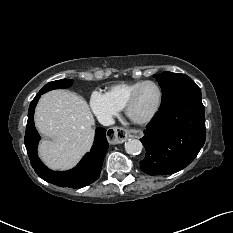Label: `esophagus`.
<instances>
[{"label": "esophagus", "mask_w": 233, "mask_h": 233, "mask_svg": "<svg viewBox=\"0 0 233 233\" xmlns=\"http://www.w3.org/2000/svg\"><path fill=\"white\" fill-rule=\"evenodd\" d=\"M128 136H132L135 138H140L142 136V132L140 130H126L122 127H111L108 129L106 133V140L110 144H119L126 141Z\"/></svg>", "instance_id": "34e87169"}]
</instances>
